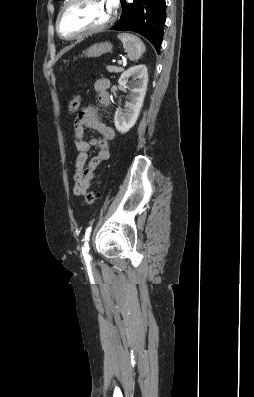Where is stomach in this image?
I'll return each instance as SVG.
<instances>
[{"label": "stomach", "instance_id": "obj_1", "mask_svg": "<svg viewBox=\"0 0 254 397\" xmlns=\"http://www.w3.org/2000/svg\"><path fill=\"white\" fill-rule=\"evenodd\" d=\"M112 50V44L110 42L97 43L89 47L83 54L86 57H99L104 53Z\"/></svg>", "mask_w": 254, "mask_h": 397}]
</instances>
